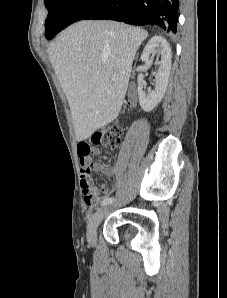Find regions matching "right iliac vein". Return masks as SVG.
<instances>
[{
    "instance_id": "1",
    "label": "right iliac vein",
    "mask_w": 227,
    "mask_h": 298,
    "mask_svg": "<svg viewBox=\"0 0 227 298\" xmlns=\"http://www.w3.org/2000/svg\"><path fill=\"white\" fill-rule=\"evenodd\" d=\"M107 212V207L100 208L92 216L87 226V240L90 244H94L97 237V229Z\"/></svg>"
}]
</instances>
